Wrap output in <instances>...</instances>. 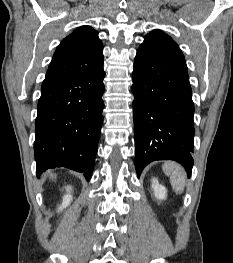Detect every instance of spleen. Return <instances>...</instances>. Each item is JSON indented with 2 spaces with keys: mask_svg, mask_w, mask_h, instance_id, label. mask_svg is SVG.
<instances>
[{
  "mask_svg": "<svg viewBox=\"0 0 233 263\" xmlns=\"http://www.w3.org/2000/svg\"><path fill=\"white\" fill-rule=\"evenodd\" d=\"M162 168L164 173L167 176H170V182L176 194L183 192L186 181V176L183 169L173 162H165Z\"/></svg>",
  "mask_w": 233,
  "mask_h": 263,
  "instance_id": "spleen-1",
  "label": "spleen"
}]
</instances>
